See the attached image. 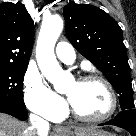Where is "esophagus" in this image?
I'll use <instances>...</instances> for the list:
<instances>
[{
    "label": "esophagus",
    "instance_id": "34e87169",
    "mask_svg": "<svg viewBox=\"0 0 136 136\" xmlns=\"http://www.w3.org/2000/svg\"><path fill=\"white\" fill-rule=\"evenodd\" d=\"M54 132H56V133L65 132V128H63V127L60 126V125H56V126H54Z\"/></svg>",
    "mask_w": 136,
    "mask_h": 136
}]
</instances>
